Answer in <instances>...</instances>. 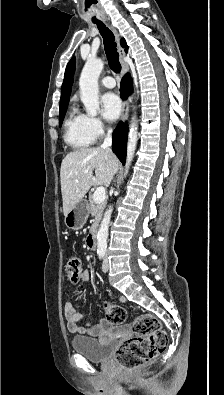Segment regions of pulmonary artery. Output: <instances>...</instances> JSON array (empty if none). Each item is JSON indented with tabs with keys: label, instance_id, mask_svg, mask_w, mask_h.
<instances>
[{
	"label": "pulmonary artery",
	"instance_id": "obj_1",
	"mask_svg": "<svg viewBox=\"0 0 224 395\" xmlns=\"http://www.w3.org/2000/svg\"><path fill=\"white\" fill-rule=\"evenodd\" d=\"M101 84L106 88H113L116 85L115 79L111 76H106L101 80Z\"/></svg>",
	"mask_w": 224,
	"mask_h": 395
}]
</instances>
